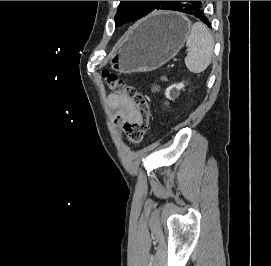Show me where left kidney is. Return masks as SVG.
Returning a JSON list of instances; mask_svg holds the SVG:
<instances>
[{
	"label": "left kidney",
	"instance_id": "obj_1",
	"mask_svg": "<svg viewBox=\"0 0 271 266\" xmlns=\"http://www.w3.org/2000/svg\"><path fill=\"white\" fill-rule=\"evenodd\" d=\"M183 88V85L182 84H178V85H173L171 87H169L167 90H166V96L168 98H171L170 94H171V91L174 92L175 90H179Z\"/></svg>",
	"mask_w": 271,
	"mask_h": 266
}]
</instances>
